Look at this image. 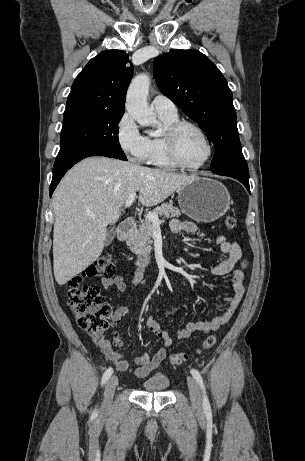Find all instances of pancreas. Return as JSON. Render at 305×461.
Masks as SVG:
<instances>
[{"instance_id": "cf45deb5", "label": "pancreas", "mask_w": 305, "mask_h": 461, "mask_svg": "<svg viewBox=\"0 0 305 461\" xmlns=\"http://www.w3.org/2000/svg\"><path fill=\"white\" fill-rule=\"evenodd\" d=\"M151 213L161 216L163 218L179 217L181 212L178 208L173 206L171 203H162L156 207ZM153 232V223L149 219H145L141 222L138 230L131 232L130 237L126 241V245L129 249L139 258H147L151 253L152 243L151 237Z\"/></svg>"}]
</instances>
